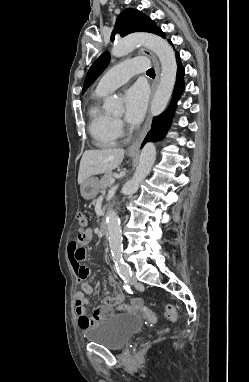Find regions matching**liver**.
<instances>
[{
    "instance_id": "obj_1",
    "label": "liver",
    "mask_w": 249,
    "mask_h": 382,
    "mask_svg": "<svg viewBox=\"0 0 249 382\" xmlns=\"http://www.w3.org/2000/svg\"><path fill=\"white\" fill-rule=\"evenodd\" d=\"M124 149L86 150L81 158L78 172V184L93 175L103 174L117 168L123 158Z\"/></svg>"
}]
</instances>
